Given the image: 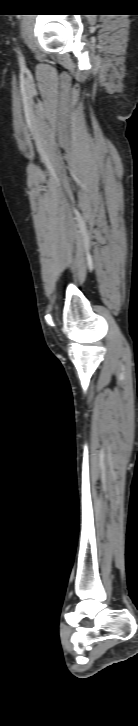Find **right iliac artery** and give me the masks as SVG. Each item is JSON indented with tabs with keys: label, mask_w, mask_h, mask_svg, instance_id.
Wrapping results in <instances>:
<instances>
[{
	"label": "right iliac artery",
	"mask_w": 138,
	"mask_h": 726,
	"mask_svg": "<svg viewBox=\"0 0 138 726\" xmlns=\"http://www.w3.org/2000/svg\"><path fill=\"white\" fill-rule=\"evenodd\" d=\"M19 60H20L21 63L23 62V59H22V57H21L20 54H19Z\"/></svg>",
	"instance_id": "right-iliac-artery-1"
}]
</instances>
